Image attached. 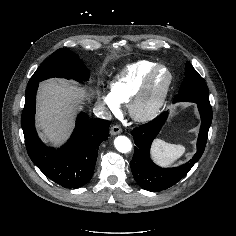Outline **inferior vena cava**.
Instances as JSON below:
<instances>
[{"label":"inferior vena cava","instance_id":"inferior-vena-cava-1","mask_svg":"<svg viewBox=\"0 0 236 236\" xmlns=\"http://www.w3.org/2000/svg\"><path fill=\"white\" fill-rule=\"evenodd\" d=\"M93 113L98 118L111 119V113L106 109L105 105L102 102L95 103Z\"/></svg>","mask_w":236,"mask_h":236}]
</instances>
